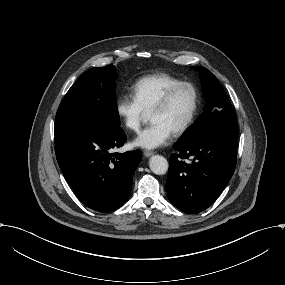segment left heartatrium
I'll return each mask as SVG.
<instances>
[{
	"instance_id": "39dd6f15",
	"label": "left heart atrium",
	"mask_w": 285,
	"mask_h": 285,
	"mask_svg": "<svg viewBox=\"0 0 285 285\" xmlns=\"http://www.w3.org/2000/svg\"><path fill=\"white\" fill-rule=\"evenodd\" d=\"M172 129L161 121H152L144 130H142L137 138L135 144L153 149L165 144L171 137Z\"/></svg>"
}]
</instances>
